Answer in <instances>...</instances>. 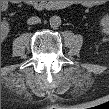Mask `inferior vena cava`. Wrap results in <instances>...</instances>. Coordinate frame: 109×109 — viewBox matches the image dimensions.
I'll return each instance as SVG.
<instances>
[{
    "instance_id": "1",
    "label": "inferior vena cava",
    "mask_w": 109,
    "mask_h": 109,
    "mask_svg": "<svg viewBox=\"0 0 109 109\" xmlns=\"http://www.w3.org/2000/svg\"><path fill=\"white\" fill-rule=\"evenodd\" d=\"M41 22V19L37 16H32L27 20V24L33 25V24H38Z\"/></svg>"
}]
</instances>
